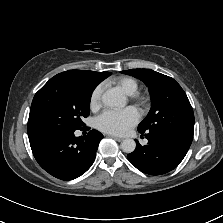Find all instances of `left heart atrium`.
<instances>
[{
	"instance_id": "obj_1",
	"label": "left heart atrium",
	"mask_w": 223,
	"mask_h": 223,
	"mask_svg": "<svg viewBox=\"0 0 223 223\" xmlns=\"http://www.w3.org/2000/svg\"><path fill=\"white\" fill-rule=\"evenodd\" d=\"M139 120V112L135 107L130 106L123 110L107 109L97 117L96 123L98 128L106 133L122 135L134 127Z\"/></svg>"
}]
</instances>
